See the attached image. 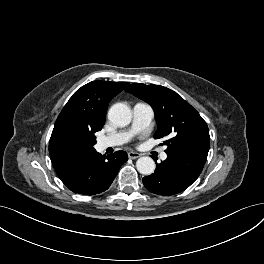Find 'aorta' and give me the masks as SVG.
Segmentation results:
<instances>
[{"label":"aorta","mask_w":264,"mask_h":264,"mask_svg":"<svg viewBox=\"0 0 264 264\" xmlns=\"http://www.w3.org/2000/svg\"><path fill=\"white\" fill-rule=\"evenodd\" d=\"M108 118L116 126L124 127L131 122L132 112L126 104L116 103L109 109ZM136 167L141 174L150 175L155 170V162L151 157L144 156L137 160Z\"/></svg>","instance_id":"aorta-1"}]
</instances>
